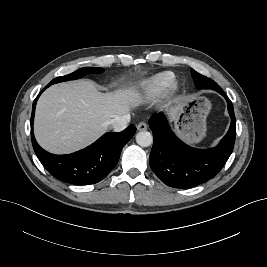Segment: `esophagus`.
I'll return each instance as SVG.
<instances>
[{
    "mask_svg": "<svg viewBox=\"0 0 267 267\" xmlns=\"http://www.w3.org/2000/svg\"><path fill=\"white\" fill-rule=\"evenodd\" d=\"M148 128V126H147V123H145V122H140L138 125H137V129L139 130V131H144V130H146Z\"/></svg>",
    "mask_w": 267,
    "mask_h": 267,
    "instance_id": "1",
    "label": "esophagus"
}]
</instances>
